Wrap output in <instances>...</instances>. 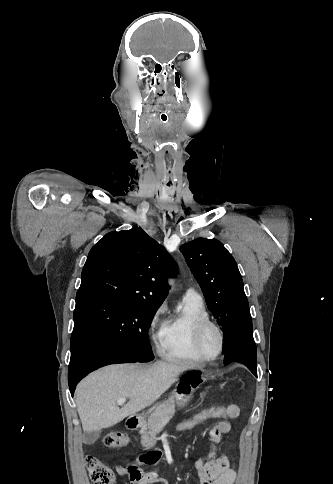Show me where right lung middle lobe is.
<instances>
[{"label": "right lung middle lobe", "mask_w": 333, "mask_h": 484, "mask_svg": "<svg viewBox=\"0 0 333 484\" xmlns=\"http://www.w3.org/2000/svg\"><path fill=\"white\" fill-rule=\"evenodd\" d=\"M158 307L116 300H89L76 304L74 329L87 324L118 342L136 362L154 359L148 328Z\"/></svg>", "instance_id": "dd1d6c3e"}]
</instances>
